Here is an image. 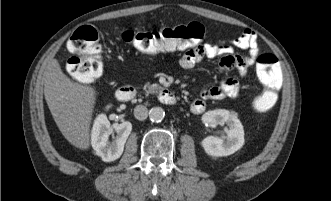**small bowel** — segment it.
Returning a JSON list of instances; mask_svg holds the SVG:
<instances>
[{
	"instance_id": "c3829d8e",
	"label": "small bowel",
	"mask_w": 331,
	"mask_h": 201,
	"mask_svg": "<svg viewBox=\"0 0 331 201\" xmlns=\"http://www.w3.org/2000/svg\"><path fill=\"white\" fill-rule=\"evenodd\" d=\"M245 50L246 56L235 54V50ZM260 52L259 38L252 30H245L239 37L232 41L219 44H205L187 50L179 60V66L183 69L194 68L204 59L220 58L217 70L220 72L236 69L243 76L254 65ZM241 93L239 82L232 77H227L215 86L205 87L201 92V98L195 99L190 105L193 114H201L206 108L205 100H219L224 98H236Z\"/></svg>"
}]
</instances>
